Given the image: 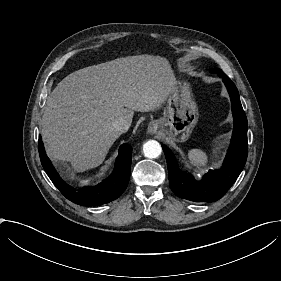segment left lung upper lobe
<instances>
[{
  "label": "left lung upper lobe",
  "mask_w": 281,
  "mask_h": 281,
  "mask_svg": "<svg viewBox=\"0 0 281 281\" xmlns=\"http://www.w3.org/2000/svg\"><path fill=\"white\" fill-rule=\"evenodd\" d=\"M211 72H214V73H222L223 71L219 68H215V69H212Z\"/></svg>",
  "instance_id": "5c2ea615"
}]
</instances>
